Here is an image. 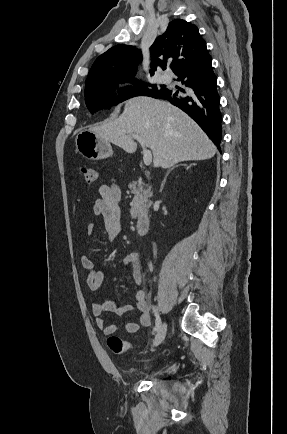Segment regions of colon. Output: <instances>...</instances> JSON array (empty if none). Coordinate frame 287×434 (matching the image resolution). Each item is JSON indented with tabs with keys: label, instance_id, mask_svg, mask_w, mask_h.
Segmentation results:
<instances>
[{
	"label": "colon",
	"instance_id": "5ec220e1",
	"mask_svg": "<svg viewBox=\"0 0 287 434\" xmlns=\"http://www.w3.org/2000/svg\"><path fill=\"white\" fill-rule=\"evenodd\" d=\"M81 174L87 183H95L99 179V170L94 167H82ZM109 349L115 354H123L133 348L132 344L120 339L117 336L111 335L107 339Z\"/></svg>",
	"mask_w": 287,
	"mask_h": 434
}]
</instances>
